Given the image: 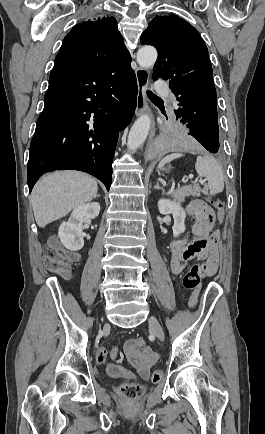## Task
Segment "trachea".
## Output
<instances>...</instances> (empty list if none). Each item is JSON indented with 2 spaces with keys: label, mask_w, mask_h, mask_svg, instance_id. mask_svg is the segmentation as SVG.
<instances>
[{
  "label": "trachea",
  "mask_w": 265,
  "mask_h": 434,
  "mask_svg": "<svg viewBox=\"0 0 265 434\" xmlns=\"http://www.w3.org/2000/svg\"><path fill=\"white\" fill-rule=\"evenodd\" d=\"M148 94H150L153 98H157L159 100H161L159 97H156L154 94H152V92L148 91Z\"/></svg>",
  "instance_id": "trachea-1"
}]
</instances>
